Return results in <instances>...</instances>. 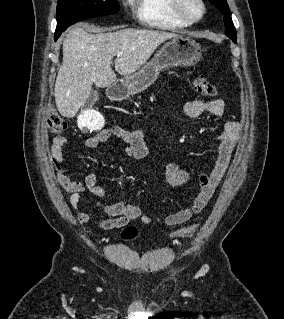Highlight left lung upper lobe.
I'll list each match as a JSON object with an SVG mask.
<instances>
[{"mask_svg": "<svg viewBox=\"0 0 284 319\" xmlns=\"http://www.w3.org/2000/svg\"><path fill=\"white\" fill-rule=\"evenodd\" d=\"M218 10L224 15L225 34L233 41L236 42L237 35L234 24L231 19L230 9L226 0H209Z\"/></svg>", "mask_w": 284, "mask_h": 319, "instance_id": "obj_1", "label": "left lung upper lobe"}]
</instances>
